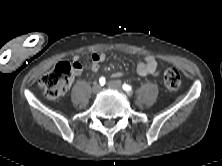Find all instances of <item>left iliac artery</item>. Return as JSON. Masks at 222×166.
<instances>
[{"instance_id": "1", "label": "left iliac artery", "mask_w": 222, "mask_h": 166, "mask_svg": "<svg viewBox=\"0 0 222 166\" xmlns=\"http://www.w3.org/2000/svg\"><path fill=\"white\" fill-rule=\"evenodd\" d=\"M122 88H123V90H125L128 93L132 90V87L128 84H123Z\"/></svg>"}]
</instances>
